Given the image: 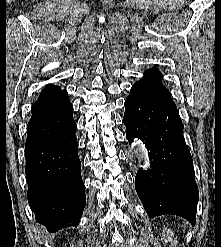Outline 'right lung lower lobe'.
Segmentation results:
<instances>
[{"label": "right lung lower lobe", "mask_w": 221, "mask_h": 247, "mask_svg": "<svg viewBox=\"0 0 221 247\" xmlns=\"http://www.w3.org/2000/svg\"><path fill=\"white\" fill-rule=\"evenodd\" d=\"M76 129L66 90L35 102L25 144L27 198L51 233L77 227L86 204Z\"/></svg>", "instance_id": "obj_1"}]
</instances>
